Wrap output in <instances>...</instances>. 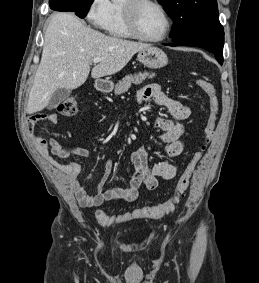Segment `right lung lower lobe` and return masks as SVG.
<instances>
[{"label":"right lung lower lobe","instance_id":"98d812e1","mask_svg":"<svg viewBox=\"0 0 259 283\" xmlns=\"http://www.w3.org/2000/svg\"><path fill=\"white\" fill-rule=\"evenodd\" d=\"M78 0H50V8L56 11H75Z\"/></svg>","mask_w":259,"mask_h":283}]
</instances>
